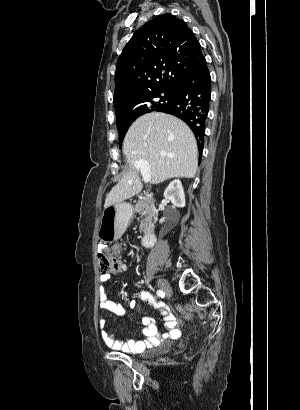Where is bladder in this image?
Segmentation results:
<instances>
[{
    "label": "bladder",
    "mask_w": 300,
    "mask_h": 410,
    "mask_svg": "<svg viewBox=\"0 0 300 410\" xmlns=\"http://www.w3.org/2000/svg\"><path fill=\"white\" fill-rule=\"evenodd\" d=\"M171 348V341L164 342L161 344L159 347H157L155 350L156 352H166Z\"/></svg>",
    "instance_id": "obj_1"
}]
</instances>
